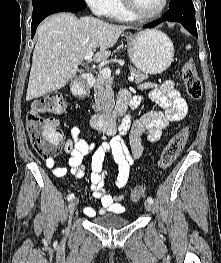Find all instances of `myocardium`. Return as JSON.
Returning <instances> with one entry per match:
<instances>
[{
	"label": "myocardium",
	"instance_id": "f54148a6",
	"mask_svg": "<svg viewBox=\"0 0 221 263\" xmlns=\"http://www.w3.org/2000/svg\"><path fill=\"white\" fill-rule=\"evenodd\" d=\"M122 3L125 9L131 15H133L135 18H138V19H152V18L158 17L165 11V9L168 6V0H163L161 7L157 11L152 12V13H143L138 9L134 0H122Z\"/></svg>",
	"mask_w": 221,
	"mask_h": 263
}]
</instances>
